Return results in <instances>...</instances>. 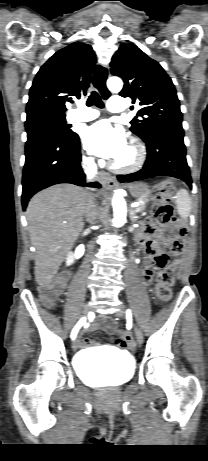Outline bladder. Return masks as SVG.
I'll use <instances>...</instances> for the list:
<instances>
[{
	"instance_id": "bladder-1",
	"label": "bladder",
	"mask_w": 208,
	"mask_h": 461,
	"mask_svg": "<svg viewBox=\"0 0 208 461\" xmlns=\"http://www.w3.org/2000/svg\"><path fill=\"white\" fill-rule=\"evenodd\" d=\"M102 355L98 358V355ZM77 375L96 387H117L129 381L134 371V361L122 353L103 351L84 352L74 363Z\"/></svg>"
}]
</instances>
